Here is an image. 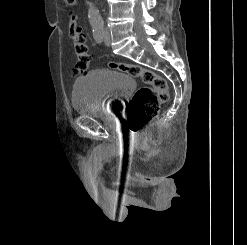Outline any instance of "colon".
I'll list each match as a JSON object with an SVG mask.
<instances>
[{
  "instance_id": "colon-1",
  "label": "colon",
  "mask_w": 247,
  "mask_h": 245,
  "mask_svg": "<svg viewBox=\"0 0 247 245\" xmlns=\"http://www.w3.org/2000/svg\"><path fill=\"white\" fill-rule=\"evenodd\" d=\"M64 4L67 7H72L75 0H64ZM69 36L74 40L77 55V61L72 68L73 74H84L89 69L91 61L90 49L80 34L72 30ZM108 65L111 69L141 79L145 84L134 93L127 107L128 128L131 132L138 133L159 114L161 106L166 103L168 99L167 83L156 72L135 64L111 61Z\"/></svg>"
}]
</instances>
